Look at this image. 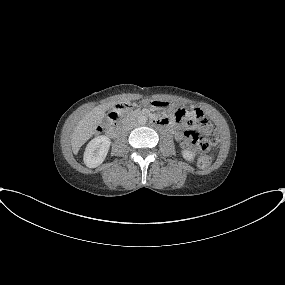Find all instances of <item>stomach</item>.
<instances>
[{
  "instance_id": "1",
  "label": "stomach",
  "mask_w": 285,
  "mask_h": 285,
  "mask_svg": "<svg viewBox=\"0 0 285 285\" xmlns=\"http://www.w3.org/2000/svg\"><path fill=\"white\" fill-rule=\"evenodd\" d=\"M145 104L148 105L152 110H169L172 107V104L166 101H159V100H147Z\"/></svg>"
}]
</instances>
